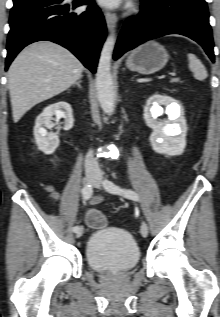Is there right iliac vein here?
Segmentation results:
<instances>
[{"mask_svg": "<svg viewBox=\"0 0 220 317\" xmlns=\"http://www.w3.org/2000/svg\"><path fill=\"white\" fill-rule=\"evenodd\" d=\"M96 179H97V175L95 174L90 173L86 175V181L89 184H93ZM83 231H84L83 227H80V229L76 232V237L77 238L81 237L83 235Z\"/></svg>", "mask_w": 220, "mask_h": 317, "instance_id": "63e3f726", "label": "right iliac vein"}]
</instances>
